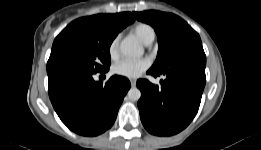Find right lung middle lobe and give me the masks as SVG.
<instances>
[{
  "label": "right lung middle lobe",
  "mask_w": 261,
  "mask_h": 150,
  "mask_svg": "<svg viewBox=\"0 0 261 150\" xmlns=\"http://www.w3.org/2000/svg\"><path fill=\"white\" fill-rule=\"evenodd\" d=\"M122 29L85 17L71 22L54 40L47 74L108 71L111 64L110 45Z\"/></svg>",
  "instance_id": "1"
}]
</instances>
